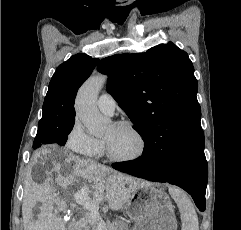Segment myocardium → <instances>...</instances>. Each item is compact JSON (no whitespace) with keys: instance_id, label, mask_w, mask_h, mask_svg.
Returning a JSON list of instances; mask_svg holds the SVG:
<instances>
[{"instance_id":"f54148a6","label":"myocardium","mask_w":241,"mask_h":230,"mask_svg":"<svg viewBox=\"0 0 241 230\" xmlns=\"http://www.w3.org/2000/svg\"><path fill=\"white\" fill-rule=\"evenodd\" d=\"M113 125L116 127H126L130 129L138 138L139 150L137 151L136 154L130 157H124V158L117 157L112 153L109 144L103 140V148L108 159L116 163H131L142 158L147 150V142L143 133L130 121H126V120L117 121Z\"/></svg>"}]
</instances>
